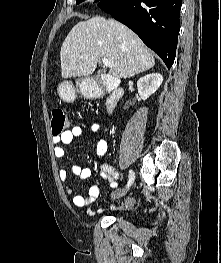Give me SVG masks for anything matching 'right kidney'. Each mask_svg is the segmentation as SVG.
I'll use <instances>...</instances> for the list:
<instances>
[{
	"mask_svg": "<svg viewBox=\"0 0 221 263\" xmlns=\"http://www.w3.org/2000/svg\"><path fill=\"white\" fill-rule=\"evenodd\" d=\"M163 82V77L160 73H151L141 77L137 82L138 93L142 100L148 99L154 94Z\"/></svg>",
	"mask_w": 221,
	"mask_h": 263,
	"instance_id": "right-kidney-1",
	"label": "right kidney"
}]
</instances>
